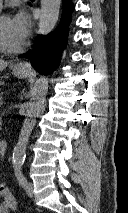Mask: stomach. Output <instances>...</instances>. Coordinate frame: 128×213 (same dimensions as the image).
Segmentation results:
<instances>
[{
	"instance_id": "obj_1",
	"label": "stomach",
	"mask_w": 128,
	"mask_h": 213,
	"mask_svg": "<svg viewBox=\"0 0 128 213\" xmlns=\"http://www.w3.org/2000/svg\"><path fill=\"white\" fill-rule=\"evenodd\" d=\"M13 74L16 77L23 78L28 75V69H18L17 67H15L13 69Z\"/></svg>"
}]
</instances>
